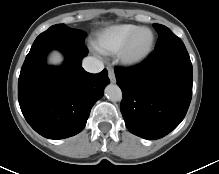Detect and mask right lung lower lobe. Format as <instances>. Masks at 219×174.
<instances>
[{"label": "right lung lower lobe", "instance_id": "98d812e1", "mask_svg": "<svg viewBox=\"0 0 219 174\" xmlns=\"http://www.w3.org/2000/svg\"><path fill=\"white\" fill-rule=\"evenodd\" d=\"M52 49L65 55L62 67H48ZM88 54L84 44L55 43L29 52L18 80V100L28 124L48 139L78 134L86 125L92 106L110 83L107 70L91 74L81 67Z\"/></svg>", "mask_w": 219, "mask_h": 174}]
</instances>
